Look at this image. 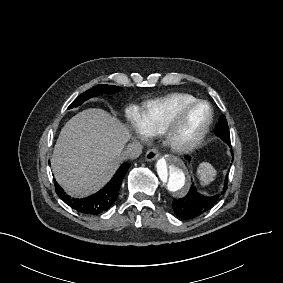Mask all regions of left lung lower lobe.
<instances>
[{
  "label": "left lung lower lobe",
  "instance_id": "0a47b994",
  "mask_svg": "<svg viewBox=\"0 0 283 283\" xmlns=\"http://www.w3.org/2000/svg\"><path fill=\"white\" fill-rule=\"evenodd\" d=\"M214 133L226 144L231 147L230 133L227 120L224 115H221L219 122L216 124ZM187 161L191 160L190 156H185ZM227 189V179L223 191L211 197L200 195L194 186H191L188 194L178 200H173L172 206L175 214L185 220L199 217L208 212L219 200L220 196Z\"/></svg>",
  "mask_w": 283,
  "mask_h": 283
}]
</instances>
